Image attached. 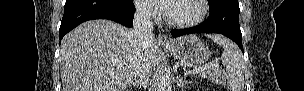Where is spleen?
<instances>
[{
  "mask_svg": "<svg viewBox=\"0 0 304 91\" xmlns=\"http://www.w3.org/2000/svg\"><path fill=\"white\" fill-rule=\"evenodd\" d=\"M213 42L224 48L221 60L226 66V72H221L214 78L216 83L225 84L230 91H243L244 89V61L240 50L227 38L214 35L210 36Z\"/></svg>",
  "mask_w": 304,
  "mask_h": 91,
  "instance_id": "3e777b00",
  "label": "spleen"
}]
</instances>
